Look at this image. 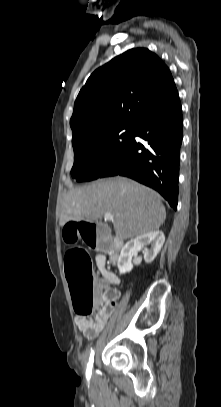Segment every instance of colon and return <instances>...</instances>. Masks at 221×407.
<instances>
[{
  "mask_svg": "<svg viewBox=\"0 0 221 407\" xmlns=\"http://www.w3.org/2000/svg\"><path fill=\"white\" fill-rule=\"evenodd\" d=\"M84 239V245L90 249H98L99 255H110L109 246L113 236L107 222H95L83 218L68 220L65 230L60 231L61 239ZM65 273L73 298L75 312L79 316L88 317L100 307L102 300L112 302L110 294L101 298L98 281L95 279L89 254L82 248L70 249L65 257Z\"/></svg>",
  "mask_w": 221,
  "mask_h": 407,
  "instance_id": "5ec220e1",
  "label": "colon"
}]
</instances>
